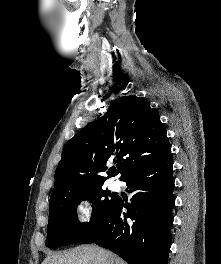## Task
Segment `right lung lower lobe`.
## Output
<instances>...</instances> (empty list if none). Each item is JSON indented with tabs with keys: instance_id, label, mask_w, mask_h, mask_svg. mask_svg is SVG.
Segmentation results:
<instances>
[{
	"instance_id": "right-lung-lower-lobe-1",
	"label": "right lung lower lobe",
	"mask_w": 221,
	"mask_h": 264,
	"mask_svg": "<svg viewBox=\"0 0 221 264\" xmlns=\"http://www.w3.org/2000/svg\"><path fill=\"white\" fill-rule=\"evenodd\" d=\"M171 153L122 181L133 196L118 198L101 222L81 241L110 249L128 264H167L175 203ZM123 208L127 212H123Z\"/></svg>"
}]
</instances>
